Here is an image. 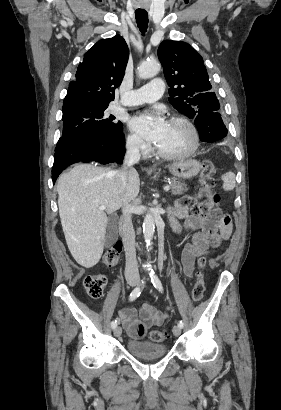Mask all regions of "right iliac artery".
Wrapping results in <instances>:
<instances>
[{
  "label": "right iliac artery",
  "instance_id": "obj_1",
  "mask_svg": "<svg viewBox=\"0 0 281 410\" xmlns=\"http://www.w3.org/2000/svg\"><path fill=\"white\" fill-rule=\"evenodd\" d=\"M144 283H145V280H142V282L140 283V285L137 286V287L131 292L130 297H129V300H130V301L135 300V299L140 295V293H141V288H142V286L144 285ZM111 327H112V329H114V328L117 327V320H114V321L111 322Z\"/></svg>",
  "mask_w": 281,
  "mask_h": 410
}]
</instances>
